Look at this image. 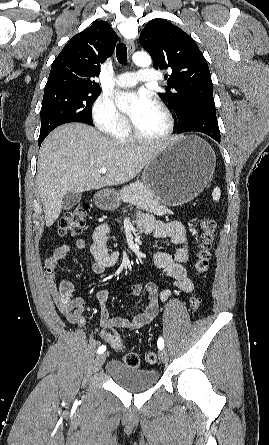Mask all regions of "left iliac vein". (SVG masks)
I'll use <instances>...</instances> for the list:
<instances>
[{"label": "left iliac vein", "instance_id": "1", "mask_svg": "<svg viewBox=\"0 0 269 445\" xmlns=\"http://www.w3.org/2000/svg\"><path fill=\"white\" fill-rule=\"evenodd\" d=\"M159 359L163 362L166 363L168 361V353L166 350H161L159 352Z\"/></svg>", "mask_w": 269, "mask_h": 445}]
</instances>
